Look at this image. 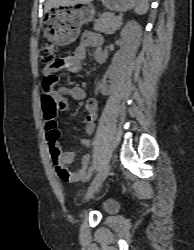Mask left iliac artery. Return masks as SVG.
Segmentation results:
<instances>
[{
    "mask_svg": "<svg viewBox=\"0 0 194 250\" xmlns=\"http://www.w3.org/2000/svg\"><path fill=\"white\" fill-rule=\"evenodd\" d=\"M92 172H93V167H91V169L89 170V175L87 176V179H89L91 177Z\"/></svg>",
    "mask_w": 194,
    "mask_h": 250,
    "instance_id": "obj_1",
    "label": "left iliac artery"
}]
</instances>
